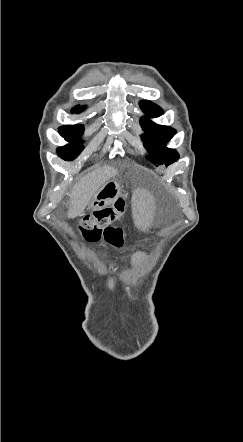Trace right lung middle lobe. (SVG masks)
Masks as SVG:
<instances>
[{
	"mask_svg": "<svg viewBox=\"0 0 243 442\" xmlns=\"http://www.w3.org/2000/svg\"><path fill=\"white\" fill-rule=\"evenodd\" d=\"M84 131L81 125H67L59 129V134L64 137L70 144L58 148L59 156L67 161L75 159L83 150L80 136Z\"/></svg>",
	"mask_w": 243,
	"mask_h": 442,
	"instance_id": "1",
	"label": "right lung middle lobe"
}]
</instances>
